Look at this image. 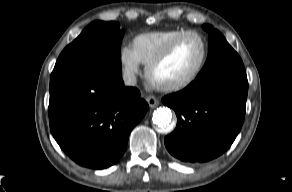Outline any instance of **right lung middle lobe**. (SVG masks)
I'll return each mask as SVG.
<instances>
[{
	"instance_id": "1",
	"label": "right lung middle lobe",
	"mask_w": 292,
	"mask_h": 192,
	"mask_svg": "<svg viewBox=\"0 0 292 192\" xmlns=\"http://www.w3.org/2000/svg\"><path fill=\"white\" fill-rule=\"evenodd\" d=\"M123 34L117 22H92L62 51L58 60H100L121 70L120 44Z\"/></svg>"
}]
</instances>
